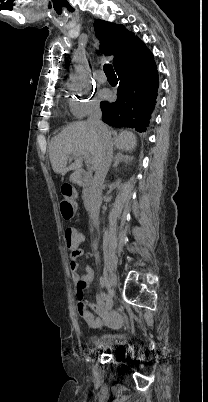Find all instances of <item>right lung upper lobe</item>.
Segmentation results:
<instances>
[{"label":"right lung upper lobe","mask_w":208,"mask_h":402,"mask_svg":"<svg viewBox=\"0 0 208 402\" xmlns=\"http://www.w3.org/2000/svg\"><path fill=\"white\" fill-rule=\"evenodd\" d=\"M95 32L100 40V52L105 55H114V67L117 58L125 51L129 43L134 39V34L126 30L122 25L113 24L103 20H96Z\"/></svg>","instance_id":"obj_1"}]
</instances>
